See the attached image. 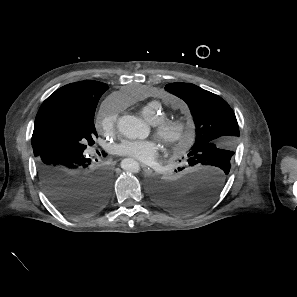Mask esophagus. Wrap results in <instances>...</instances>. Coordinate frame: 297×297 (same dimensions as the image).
I'll return each instance as SVG.
<instances>
[{
    "label": "esophagus",
    "instance_id": "obj_1",
    "mask_svg": "<svg viewBox=\"0 0 297 297\" xmlns=\"http://www.w3.org/2000/svg\"><path fill=\"white\" fill-rule=\"evenodd\" d=\"M141 167H142V169H143L146 173H151V172H152V169H151L149 166L145 165V164H141Z\"/></svg>",
    "mask_w": 297,
    "mask_h": 297
}]
</instances>
